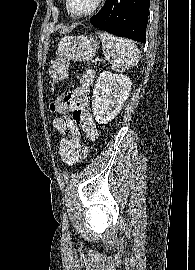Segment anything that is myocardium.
<instances>
[{"instance_id": "myocardium-1", "label": "myocardium", "mask_w": 195, "mask_h": 270, "mask_svg": "<svg viewBox=\"0 0 195 270\" xmlns=\"http://www.w3.org/2000/svg\"><path fill=\"white\" fill-rule=\"evenodd\" d=\"M104 0H97L95 5L93 6V8L91 10H89L88 12L84 13V14H76L74 13L71 8H70V0H65V5H66V9L67 12L76 19H84V18H88L90 16H92L93 14H95L102 6Z\"/></svg>"}]
</instances>
